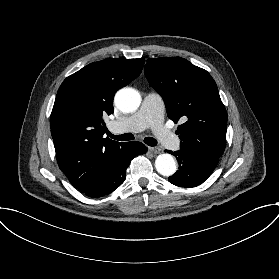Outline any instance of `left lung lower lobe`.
I'll use <instances>...</instances> for the list:
<instances>
[{
  "label": "left lung lower lobe",
  "mask_w": 279,
  "mask_h": 279,
  "mask_svg": "<svg viewBox=\"0 0 279 279\" xmlns=\"http://www.w3.org/2000/svg\"><path fill=\"white\" fill-rule=\"evenodd\" d=\"M167 152L176 156L179 162V170L169 177V181L180 187H195L203 183L219 162V157L202 151L180 147L179 151Z\"/></svg>",
  "instance_id": "1"
}]
</instances>
